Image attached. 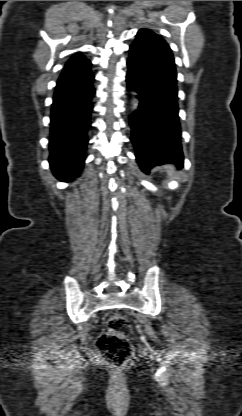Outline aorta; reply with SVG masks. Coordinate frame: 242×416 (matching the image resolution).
Instances as JSON below:
<instances>
[{
  "instance_id": "1",
  "label": "aorta",
  "mask_w": 242,
  "mask_h": 416,
  "mask_svg": "<svg viewBox=\"0 0 242 416\" xmlns=\"http://www.w3.org/2000/svg\"><path fill=\"white\" fill-rule=\"evenodd\" d=\"M136 92H133V100H132V104H133V109L136 110L138 108V100L136 99Z\"/></svg>"
}]
</instances>
